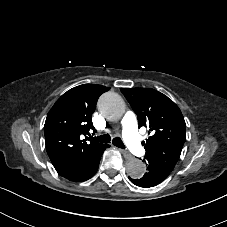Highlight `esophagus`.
I'll use <instances>...</instances> for the list:
<instances>
[{
  "label": "esophagus",
  "mask_w": 227,
  "mask_h": 227,
  "mask_svg": "<svg viewBox=\"0 0 227 227\" xmlns=\"http://www.w3.org/2000/svg\"><path fill=\"white\" fill-rule=\"evenodd\" d=\"M120 152L122 153V155L124 156L125 159L133 158L132 154L129 153L128 151H126V150L120 149Z\"/></svg>",
  "instance_id": "34e87169"
}]
</instances>
